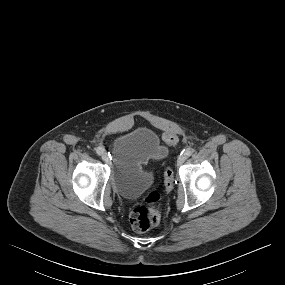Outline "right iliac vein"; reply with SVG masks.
<instances>
[{
    "mask_svg": "<svg viewBox=\"0 0 285 285\" xmlns=\"http://www.w3.org/2000/svg\"><path fill=\"white\" fill-rule=\"evenodd\" d=\"M102 160H103L104 162H108V161H109V156H108V154H107L106 152H104V153L102 154Z\"/></svg>",
    "mask_w": 285,
    "mask_h": 285,
    "instance_id": "right-iliac-vein-1",
    "label": "right iliac vein"
}]
</instances>
